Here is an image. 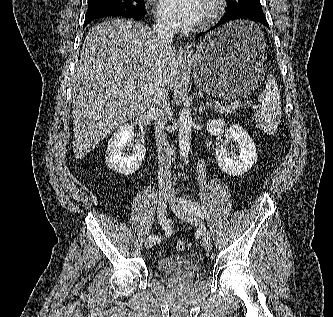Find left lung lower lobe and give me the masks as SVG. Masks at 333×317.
<instances>
[{"instance_id":"left-lung-lower-lobe-1","label":"left lung lower lobe","mask_w":333,"mask_h":317,"mask_svg":"<svg viewBox=\"0 0 333 317\" xmlns=\"http://www.w3.org/2000/svg\"><path fill=\"white\" fill-rule=\"evenodd\" d=\"M242 19H249L253 21L260 22L261 24L265 25L267 28H269V25L267 23L266 17L262 11V8H250L245 10H240L237 12L225 14L223 18L210 30H213L219 26H222L223 24L229 23L234 20H242ZM203 33H200L196 36V38L200 37Z\"/></svg>"}]
</instances>
